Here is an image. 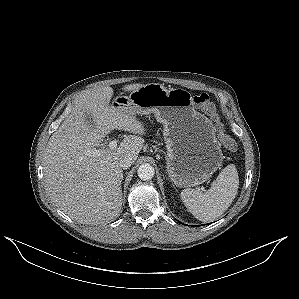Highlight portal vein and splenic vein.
<instances>
[{"instance_id": "1", "label": "portal vein and splenic vein", "mask_w": 299, "mask_h": 299, "mask_svg": "<svg viewBox=\"0 0 299 299\" xmlns=\"http://www.w3.org/2000/svg\"><path fill=\"white\" fill-rule=\"evenodd\" d=\"M108 147L109 149L113 150L117 147V141L116 140H112L109 142L108 144ZM101 151L100 150H97V149H94V150H91L90 151V154L96 156V155H100ZM202 190H204V188H202Z\"/></svg>"}]
</instances>
